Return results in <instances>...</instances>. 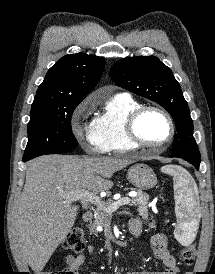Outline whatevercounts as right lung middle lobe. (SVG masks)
<instances>
[{"label":"right lung middle lobe","mask_w":215,"mask_h":274,"mask_svg":"<svg viewBox=\"0 0 215 274\" xmlns=\"http://www.w3.org/2000/svg\"><path fill=\"white\" fill-rule=\"evenodd\" d=\"M79 103H33L23 159L30 160L75 148L78 143L72 133L71 117Z\"/></svg>","instance_id":"obj_1"}]
</instances>
